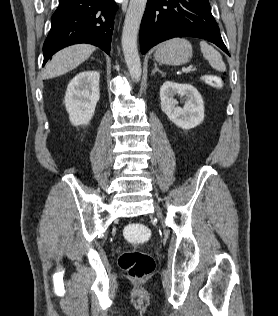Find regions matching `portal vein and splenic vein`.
<instances>
[{
  "label": "portal vein and splenic vein",
  "instance_id": "1",
  "mask_svg": "<svg viewBox=\"0 0 278 316\" xmlns=\"http://www.w3.org/2000/svg\"><path fill=\"white\" fill-rule=\"evenodd\" d=\"M192 70H193V66H192V65L188 66L187 68L182 69V71H183L184 73H189V72H191Z\"/></svg>",
  "mask_w": 278,
  "mask_h": 316
}]
</instances>
